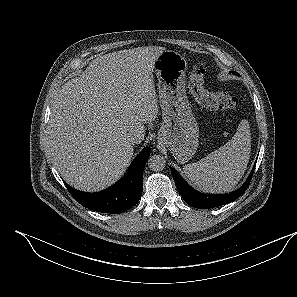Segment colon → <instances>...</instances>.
I'll return each mask as SVG.
<instances>
[{"instance_id": "5ec220e1", "label": "colon", "mask_w": 297, "mask_h": 297, "mask_svg": "<svg viewBox=\"0 0 297 297\" xmlns=\"http://www.w3.org/2000/svg\"><path fill=\"white\" fill-rule=\"evenodd\" d=\"M206 68L197 65L193 68L189 78V89L193 97L206 109L232 110L237 106V99L228 93L209 92L204 85Z\"/></svg>"}]
</instances>
